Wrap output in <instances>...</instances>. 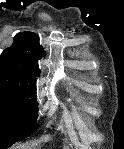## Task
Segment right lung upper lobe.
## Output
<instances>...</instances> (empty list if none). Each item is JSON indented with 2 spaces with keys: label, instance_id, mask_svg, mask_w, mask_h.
<instances>
[{
  "label": "right lung upper lobe",
  "instance_id": "cb5924a9",
  "mask_svg": "<svg viewBox=\"0 0 124 149\" xmlns=\"http://www.w3.org/2000/svg\"><path fill=\"white\" fill-rule=\"evenodd\" d=\"M44 55L38 35L32 32L17 34L12 46L1 54L0 77L23 87H36L40 75L38 60Z\"/></svg>",
  "mask_w": 124,
  "mask_h": 149
}]
</instances>
